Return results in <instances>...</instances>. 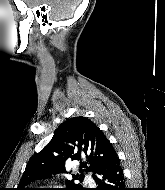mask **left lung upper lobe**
Here are the masks:
<instances>
[{
	"label": "left lung upper lobe",
	"instance_id": "5c2ea615",
	"mask_svg": "<svg viewBox=\"0 0 165 190\" xmlns=\"http://www.w3.org/2000/svg\"><path fill=\"white\" fill-rule=\"evenodd\" d=\"M115 153L109 140L91 120L80 116L67 119L56 129L48 145L31 157L17 190H30L24 186L31 181L65 171L67 161L80 162V170L79 174L72 175L65 190H84L74 180L82 182L84 171L94 173Z\"/></svg>",
	"mask_w": 165,
	"mask_h": 190
}]
</instances>
